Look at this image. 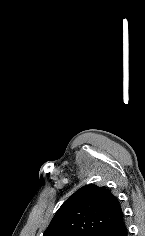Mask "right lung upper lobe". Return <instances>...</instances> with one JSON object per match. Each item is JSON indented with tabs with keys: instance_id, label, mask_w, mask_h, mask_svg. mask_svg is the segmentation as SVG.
I'll return each instance as SVG.
<instances>
[{
	"instance_id": "1",
	"label": "right lung upper lobe",
	"mask_w": 145,
	"mask_h": 236,
	"mask_svg": "<svg viewBox=\"0 0 145 236\" xmlns=\"http://www.w3.org/2000/svg\"><path fill=\"white\" fill-rule=\"evenodd\" d=\"M122 218L116 197L106 187L90 184L62 204L43 236H97Z\"/></svg>"
}]
</instances>
